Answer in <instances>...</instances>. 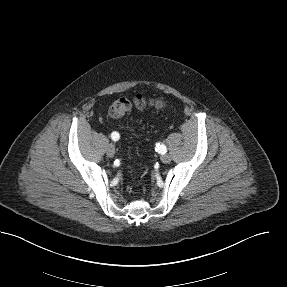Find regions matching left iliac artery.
Returning <instances> with one entry per match:
<instances>
[{"mask_svg": "<svg viewBox=\"0 0 287 287\" xmlns=\"http://www.w3.org/2000/svg\"><path fill=\"white\" fill-rule=\"evenodd\" d=\"M155 150L163 155L167 152V147L164 144L157 143Z\"/></svg>", "mask_w": 287, "mask_h": 287, "instance_id": "1", "label": "left iliac artery"}]
</instances>
